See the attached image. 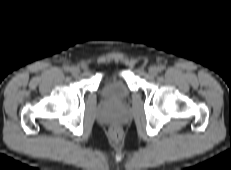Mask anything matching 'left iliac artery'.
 I'll return each mask as SVG.
<instances>
[{
  "instance_id": "left-iliac-artery-1",
  "label": "left iliac artery",
  "mask_w": 231,
  "mask_h": 170,
  "mask_svg": "<svg viewBox=\"0 0 231 170\" xmlns=\"http://www.w3.org/2000/svg\"><path fill=\"white\" fill-rule=\"evenodd\" d=\"M165 69V67L163 66V65H160L159 67H158V70L159 71H163Z\"/></svg>"
}]
</instances>
